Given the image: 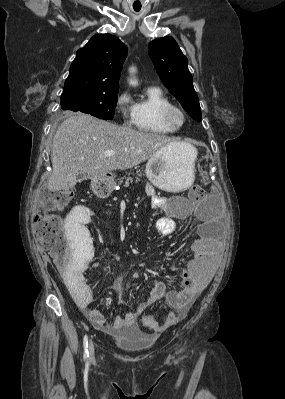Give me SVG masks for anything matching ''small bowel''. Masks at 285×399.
<instances>
[{
  "label": "small bowel",
  "mask_w": 285,
  "mask_h": 399,
  "mask_svg": "<svg viewBox=\"0 0 285 399\" xmlns=\"http://www.w3.org/2000/svg\"><path fill=\"white\" fill-rule=\"evenodd\" d=\"M146 194L151 199L152 206L163 208L167 213V216L161 217L155 222L156 231L164 236L175 232V218H189L195 214L201 217L205 215L204 212L194 211L190 206L185 205L181 197L173 198L171 202L167 203L164 199L157 197L151 188L146 189ZM183 210L185 211L183 212ZM88 220L89 217L84 211H73L66 217L65 230L69 243L74 250L75 259L73 270L69 273H61V276L72 297L85 309L86 315L97 329L110 335L120 334L126 328L135 330L138 319L147 306L162 299H165L174 310L173 312L178 314V319L173 321L168 314L164 323L149 328L152 334H161L187 315L192 303L207 286L216 262L214 248L209 244V238L205 231L203 235L190 242L192 258L182 271V282L179 290L168 291L166 283L158 279L152 286L145 303L138 305L133 311L116 316L112 322L108 323L104 315L90 305L92 292L83 275L85 271L96 268L99 262L91 258L84 259L76 250L78 245L83 244L85 253L89 246ZM75 270L80 272L79 277L76 276Z\"/></svg>",
  "instance_id": "1"
}]
</instances>
